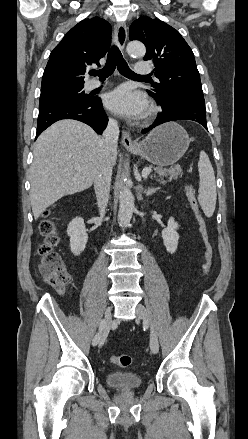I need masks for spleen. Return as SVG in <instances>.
<instances>
[{
    "label": "spleen",
    "mask_w": 248,
    "mask_h": 439,
    "mask_svg": "<svg viewBox=\"0 0 248 439\" xmlns=\"http://www.w3.org/2000/svg\"><path fill=\"white\" fill-rule=\"evenodd\" d=\"M198 170L200 177L198 201L205 215L211 217L216 206V182L213 167L204 151L199 155Z\"/></svg>",
    "instance_id": "3e777b00"
}]
</instances>
